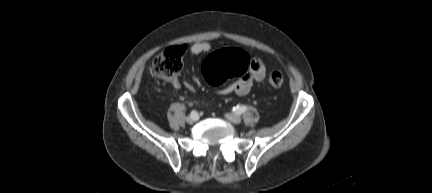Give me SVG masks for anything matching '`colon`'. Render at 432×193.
Here are the masks:
<instances>
[{"label":"colon","instance_id":"colon-1","mask_svg":"<svg viewBox=\"0 0 432 193\" xmlns=\"http://www.w3.org/2000/svg\"><path fill=\"white\" fill-rule=\"evenodd\" d=\"M184 50L182 47H171L157 55L150 72L166 82H175L183 66ZM251 57L238 48L223 49L211 54L203 64V72L212 85H220L230 78L241 77L251 68ZM269 84L280 87L284 83L283 74L276 70L270 73Z\"/></svg>","mask_w":432,"mask_h":193}]
</instances>
